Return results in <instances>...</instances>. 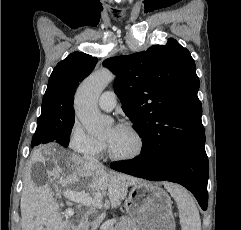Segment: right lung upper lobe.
I'll use <instances>...</instances> for the list:
<instances>
[{
  "mask_svg": "<svg viewBox=\"0 0 241 230\" xmlns=\"http://www.w3.org/2000/svg\"><path fill=\"white\" fill-rule=\"evenodd\" d=\"M97 62V58L82 52L71 53L59 62L49 78L41 114H51L58 119L74 117L75 89L92 72Z\"/></svg>",
  "mask_w": 241,
  "mask_h": 230,
  "instance_id": "1",
  "label": "right lung upper lobe"
}]
</instances>
